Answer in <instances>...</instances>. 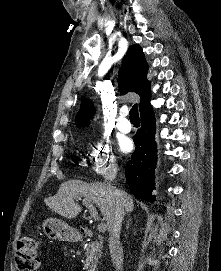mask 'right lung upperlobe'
Segmentation results:
<instances>
[{
    "label": "right lung upper lobe",
    "mask_w": 221,
    "mask_h": 271,
    "mask_svg": "<svg viewBox=\"0 0 221 271\" xmlns=\"http://www.w3.org/2000/svg\"><path fill=\"white\" fill-rule=\"evenodd\" d=\"M148 64L140 45L135 44L129 47L118 76L119 90L122 94L128 91L137 93L140 98V114L151 108L150 82L147 80ZM95 109L90 99H84L80 112L76 117V125L88 124V119L94 114Z\"/></svg>",
    "instance_id": "1"
}]
</instances>
